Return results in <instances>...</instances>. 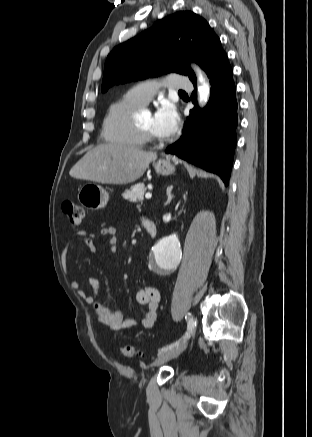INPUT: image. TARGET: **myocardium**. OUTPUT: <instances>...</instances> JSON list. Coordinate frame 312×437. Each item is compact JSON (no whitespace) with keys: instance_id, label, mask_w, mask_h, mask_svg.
Here are the masks:
<instances>
[{"instance_id":"obj_1","label":"myocardium","mask_w":312,"mask_h":437,"mask_svg":"<svg viewBox=\"0 0 312 437\" xmlns=\"http://www.w3.org/2000/svg\"><path fill=\"white\" fill-rule=\"evenodd\" d=\"M134 122H135V127L139 132V134L141 135V138L143 139L144 143L155 144V145L165 143L163 139L156 138L150 131L140 126L137 121L134 120Z\"/></svg>"}]
</instances>
